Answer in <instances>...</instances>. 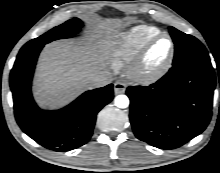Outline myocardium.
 Returning a JSON list of instances; mask_svg holds the SVG:
<instances>
[{"label":"myocardium","instance_id":"obj_1","mask_svg":"<svg viewBox=\"0 0 220 173\" xmlns=\"http://www.w3.org/2000/svg\"><path fill=\"white\" fill-rule=\"evenodd\" d=\"M166 38L169 42V50L164 63L156 69L148 70L145 65L146 56L151 47L159 40ZM175 56V43L167 33H159L149 39L139 50L128 70L130 79L141 85H149L161 79L171 68Z\"/></svg>","mask_w":220,"mask_h":173}]
</instances>
